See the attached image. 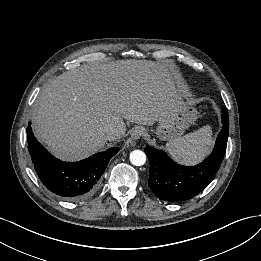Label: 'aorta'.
<instances>
[{"label": "aorta", "mask_w": 261, "mask_h": 261, "mask_svg": "<svg viewBox=\"0 0 261 261\" xmlns=\"http://www.w3.org/2000/svg\"><path fill=\"white\" fill-rule=\"evenodd\" d=\"M130 162L134 166H142L146 162V155L141 150H134L130 153Z\"/></svg>", "instance_id": "aorta-1"}]
</instances>
